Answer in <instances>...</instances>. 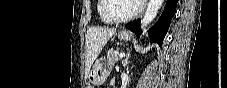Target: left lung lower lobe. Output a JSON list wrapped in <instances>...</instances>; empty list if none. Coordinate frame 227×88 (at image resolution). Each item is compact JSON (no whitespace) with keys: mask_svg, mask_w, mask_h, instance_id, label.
<instances>
[{"mask_svg":"<svg viewBox=\"0 0 227 88\" xmlns=\"http://www.w3.org/2000/svg\"><path fill=\"white\" fill-rule=\"evenodd\" d=\"M177 2L178 0H167L164 11L158 22L149 29V38L151 42L162 45L163 39L170 26L171 19L175 15ZM140 22V19L130 22L126 25V28L134 32L139 37L142 31L140 28Z\"/></svg>","mask_w":227,"mask_h":88,"instance_id":"left-lung-lower-lobe-1","label":"left lung lower lobe"}]
</instances>
